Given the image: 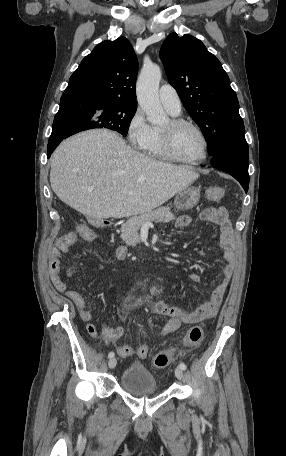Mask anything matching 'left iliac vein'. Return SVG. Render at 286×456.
Segmentation results:
<instances>
[{
  "label": "left iliac vein",
  "instance_id": "left-iliac-vein-1",
  "mask_svg": "<svg viewBox=\"0 0 286 456\" xmlns=\"http://www.w3.org/2000/svg\"><path fill=\"white\" fill-rule=\"evenodd\" d=\"M175 376H176L179 380H182L183 377H184L183 369H181L180 367H176V368H175Z\"/></svg>",
  "mask_w": 286,
  "mask_h": 456
}]
</instances>
